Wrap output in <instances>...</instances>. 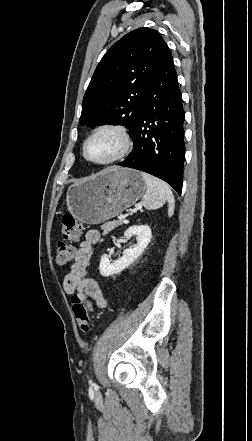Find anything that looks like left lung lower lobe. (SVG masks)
I'll list each match as a JSON object with an SVG mask.
<instances>
[{"label": "left lung lower lobe", "mask_w": 252, "mask_h": 441, "mask_svg": "<svg viewBox=\"0 0 252 441\" xmlns=\"http://www.w3.org/2000/svg\"><path fill=\"white\" fill-rule=\"evenodd\" d=\"M177 74L165 43L147 90L134 136V149L117 165L141 170L169 183L178 194L183 184L184 123Z\"/></svg>", "instance_id": "obj_1"}]
</instances>
